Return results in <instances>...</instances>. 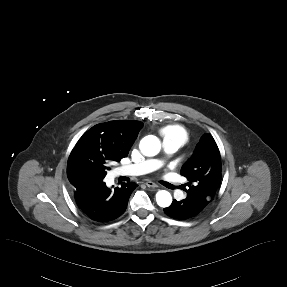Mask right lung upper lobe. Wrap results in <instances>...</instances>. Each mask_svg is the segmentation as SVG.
<instances>
[{
    "mask_svg": "<svg viewBox=\"0 0 287 287\" xmlns=\"http://www.w3.org/2000/svg\"><path fill=\"white\" fill-rule=\"evenodd\" d=\"M142 126V122L135 120H114L97 124L79 139L76 146L108 152L121 160L128 155Z\"/></svg>",
    "mask_w": 287,
    "mask_h": 287,
    "instance_id": "right-lung-upper-lobe-1",
    "label": "right lung upper lobe"
}]
</instances>
